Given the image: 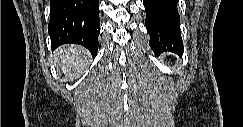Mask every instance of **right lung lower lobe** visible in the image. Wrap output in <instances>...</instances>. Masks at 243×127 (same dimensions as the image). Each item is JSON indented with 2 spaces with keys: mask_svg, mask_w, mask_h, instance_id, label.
I'll return each mask as SVG.
<instances>
[{
  "mask_svg": "<svg viewBox=\"0 0 243 127\" xmlns=\"http://www.w3.org/2000/svg\"><path fill=\"white\" fill-rule=\"evenodd\" d=\"M99 0H51L48 32L52 49L80 44L93 56L98 50Z\"/></svg>",
  "mask_w": 243,
  "mask_h": 127,
  "instance_id": "obj_1",
  "label": "right lung lower lobe"
}]
</instances>
